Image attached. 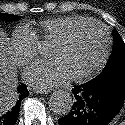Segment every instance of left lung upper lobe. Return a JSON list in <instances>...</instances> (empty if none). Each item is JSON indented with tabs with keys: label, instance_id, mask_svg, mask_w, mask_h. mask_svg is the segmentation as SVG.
Segmentation results:
<instances>
[{
	"label": "left lung upper lobe",
	"instance_id": "1",
	"mask_svg": "<svg viewBox=\"0 0 125 125\" xmlns=\"http://www.w3.org/2000/svg\"><path fill=\"white\" fill-rule=\"evenodd\" d=\"M114 49L103 71L92 82L110 78L125 72V44L117 31H113Z\"/></svg>",
	"mask_w": 125,
	"mask_h": 125
}]
</instances>
